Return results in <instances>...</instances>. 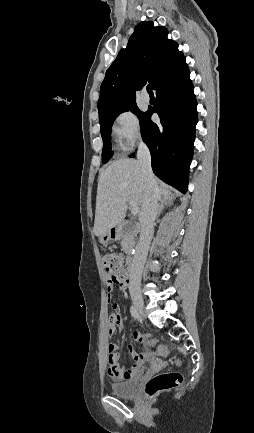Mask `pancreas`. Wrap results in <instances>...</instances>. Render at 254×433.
Instances as JSON below:
<instances>
[{
	"mask_svg": "<svg viewBox=\"0 0 254 433\" xmlns=\"http://www.w3.org/2000/svg\"><path fill=\"white\" fill-rule=\"evenodd\" d=\"M126 243H127V240L124 239V240L122 241V246L124 247V246L126 245Z\"/></svg>",
	"mask_w": 254,
	"mask_h": 433,
	"instance_id": "pancreas-1",
	"label": "pancreas"
}]
</instances>
